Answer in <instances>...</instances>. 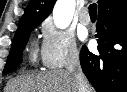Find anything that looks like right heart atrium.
I'll return each instance as SVG.
<instances>
[{
    "label": "right heart atrium",
    "instance_id": "obj_1",
    "mask_svg": "<svg viewBox=\"0 0 127 92\" xmlns=\"http://www.w3.org/2000/svg\"><path fill=\"white\" fill-rule=\"evenodd\" d=\"M79 49L74 35L45 22L42 26L40 58L46 69H61L79 59Z\"/></svg>",
    "mask_w": 127,
    "mask_h": 92
}]
</instances>
